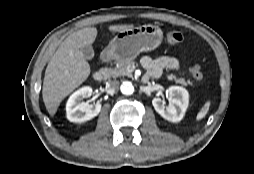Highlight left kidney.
<instances>
[{
    "mask_svg": "<svg viewBox=\"0 0 254 174\" xmlns=\"http://www.w3.org/2000/svg\"><path fill=\"white\" fill-rule=\"evenodd\" d=\"M170 96L169 106H165L161 98H154L152 104L158 114L170 122H179L183 119L189 104L188 91L180 86L168 88Z\"/></svg>",
    "mask_w": 254,
    "mask_h": 174,
    "instance_id": "1",
    "label": "left kidney"
}]
</instances>
